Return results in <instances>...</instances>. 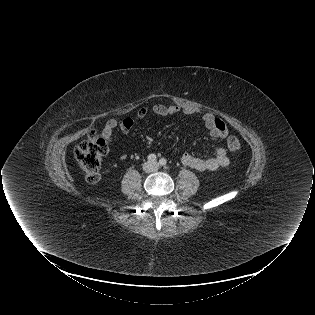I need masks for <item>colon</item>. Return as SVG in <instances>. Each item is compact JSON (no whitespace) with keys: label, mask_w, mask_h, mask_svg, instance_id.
Returning <instances> with one entry per match:
<instances>
[{"label":"colon","mask_w":315,"mask_h":315,"mask_svg":"<svg viewBox=\"0 0 315 315\" xmlns=\"http://www.w3.org/2000/svg\"><path fill=\"white\" fill-rule=\"evenodd\" d=\"M111 137L102 131H92L75 150V157L82 168L89 183H95L100 178L101 162L108 151ZM230 152L238 153L241 149L240 141L230 136L227 139Z\"/></svg>","instance_id":"5ec220e1"}]
</instances>
